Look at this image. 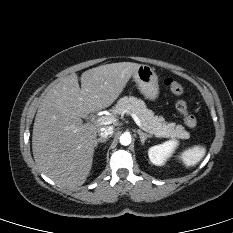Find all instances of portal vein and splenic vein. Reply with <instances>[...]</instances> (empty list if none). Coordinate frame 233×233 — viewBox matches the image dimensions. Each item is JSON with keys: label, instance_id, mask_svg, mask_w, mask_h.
<instances>
[{"label": "portal vein and splenic vein", "instance_id": "1", "mask_svg": "<svg viewBox=\"0 0 233 233\" xmlns=\"http://www.w3.org/2000/svg\"><path fill=\"white\" fill-rule=\"evenodd\" d=\"M131 117L133 118V120L135 121V123L138 125L139 128H141L142 130L146 131L142 124L140 119L134 114V113H130ZM98 123H100L101 125H107V124H112L114 122H116V118L113 116H102L97 120ZM157 136V134H155Z\"/></svg>", "mask_w": 233, "mask_h": 233}]
</instances>
